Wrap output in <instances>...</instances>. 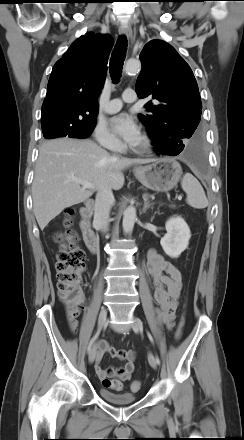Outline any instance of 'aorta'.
<instances>
[{
  "label": "aorta",
  "mask_w": 244,
  "mask_h": 440,
  "mask_svg": "<svg viewBox=\"0 0 244 440\" xmlns=\"http://www.w3.org/2000/svg\"><path fill=\"white\" fill-rule=\"evenodd\" d=\"M141 64L137 60H129L125 64V72L126 73H136L140 70ZM136 219V209L132 206H129L125 209L123 215V231L128 234L133 230L134 223Z\"/></svg>",
  "instance_id": "1"
}]
</instances>
